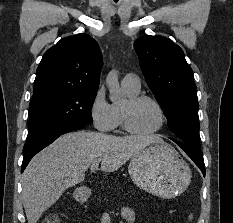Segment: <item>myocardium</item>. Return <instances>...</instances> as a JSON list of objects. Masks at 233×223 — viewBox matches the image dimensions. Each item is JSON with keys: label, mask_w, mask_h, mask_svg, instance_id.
Here are the masks:
<instances>
[{"label": "myocardium", "mask_w": 233, "mask_h": 223, "mask_svg": "<svg viewBox=\"0 0 233 223\" xmlns=\"http://www.w3.org/2000/svg\"><path fill=\"white\" fill-rule=\"evenodd\" d=\"M143 101H150L154 103L156 107L158 108L160 115H161L160 126L154 131L146 132V133L135 130L131 122V114H132L134 107H136L138 104H140ZM122 121H123L124 129L129 134L136 136V137H151V136L161 133L164 130L167 124V114H166V111L163 105L156 98L150 95L138 94L136 96L128 98L125 104L122 106Z\"/></svg>", "instance_id": "myocardium-1"}]
</instances>
